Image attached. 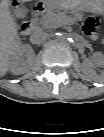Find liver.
Here are the masks:
<instances>
[{"instance_id": "6515ba94", "label": "liver", "mask_w": 104, "mask_h": 137, "mask_svg": "<svg viewBox=\"0 0 104 137\" xmlns=\"http://www.w3.org/2000/svg\"><path fill=\"white\" fill-rule=\"evenodd\" d=\"M30 2L32 0H17ZM20 46V39L14 19L10 15L8 0L0 5V70L4 74L8 69V60Z\"/></svg>"}]
</instances>
